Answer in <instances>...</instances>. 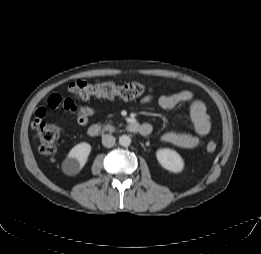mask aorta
Listing matches in <instances>:
<instances>
[{
  "instance_id": "obj_1",
  "label": "aorta",
  "mask_w": 261,
  "mask_h": 254,
  "mask_svg": "<svg viewBox=\"0 0 261 254\" xmlns=\"http://www.w3.org/2000/svg\"><path fill=\"white\" fill-rule=\"evenodd\" d=\"M119 144L128 147L131 144V138L128 135H122L119 137Z\"/></svg>"
}]
</instances>
